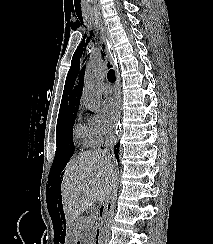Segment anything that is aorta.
I'll use <instances>...</instances> for the list:
<instances>
[{"label": "aorta", "mask_w": 213, "mask_h": 244, "mask_svg": "<svg viewBox=\"0 0 213 244\" xmlns=\"http://www.w3.org/2000/svg\"><path fill=\"white\" fill-rule=\"evenodd\" d=\"M107 72V64L103 60L91 61L85 71L83 102L94 112L100 110L102 105V93L98 84L104 79Z\"/></svg>", "instance_id": "1"}]
</instances>
